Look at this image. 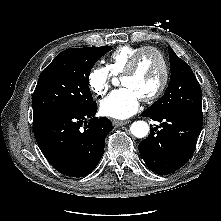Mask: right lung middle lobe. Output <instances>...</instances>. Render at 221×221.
I'll return each mask as SVG.
<instances>
[{
  "label": "right lung middle lobe",
  "mask_w": 221,
  "mask_h": 221,
  "mask_svg": "<svg viewBox=\"0 0 221 221\" xmlns=\"http://www.w3.org/2000/svg\"><path fill=\"white\" fill-rule=\"evenodd\" d=\"M112 47L72 48L43 70L32 97L33 115L57 110H84L93 101L88 83L94 64Z\"/></svg>",
  "instance_id": "dd1d6c3e"
}]
</instances>
